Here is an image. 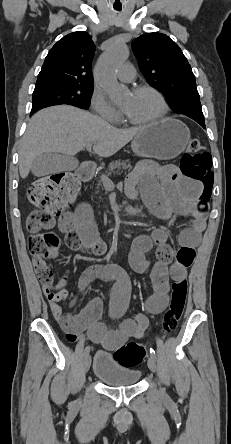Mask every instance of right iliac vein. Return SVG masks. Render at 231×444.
I'll use <instances>...</instances> for the list:
<instances>
[{"label":"right iliac vein","mask_w":231,"mask_h":444,"mask_svg":"<svg viewBox=\"0 0 231 444\" xmlns=\"http://www.w3.org/2000/svg\"><path fill=\"white\" fill-rule=\"evenodd\" d=\"M90 365H91V357L89 354H87L84 358L83 361V371L84 373H87L90 369Z\"/></svg>","instance_id":"63e3f726"}]
</instances>
